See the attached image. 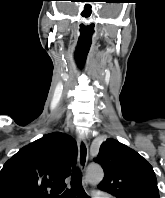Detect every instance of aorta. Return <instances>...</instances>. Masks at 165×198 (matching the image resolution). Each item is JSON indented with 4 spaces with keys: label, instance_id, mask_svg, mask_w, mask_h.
I'll list each match as a JSON object with an SVG mask.
<instances>
[{
    "label": "aorta",
    "instance_id": "762f6f07",
    "mask_svg": "<svg viewBox=\"0 0 165 198\" xmlns=\"http://www.w3.org/2000/svg\"><path fill=\"white\" fill-rule=\"evenodd\" d=\"M87 180L91 184H98L104 177L103 169L99 165H90L86 172Z\"/></svg>",
    "mask_w": 165,
    "mask_h": 198
}]
</instances>
